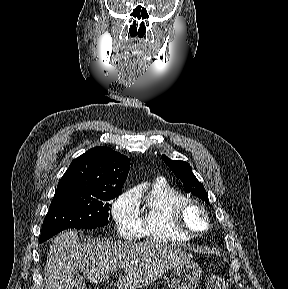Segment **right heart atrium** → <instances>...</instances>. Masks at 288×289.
<instances>
[{
  "mask_svg": "<svg viewBox=\"0 0 288 289\" xmlns=\"http://www.w3.org/2000/svg\"><path fill=\"white\" fill-rule=\"evenodd\" d=\"M112 217L118 234L127 239L139 235V218L135 198L132 193H122L113 203Z\"/></svg>",
  "mask_w": 288,
  "mask_h": 289,
  "instance_id": "1",
  "label": "right heart atrium"
}]
</instances>
